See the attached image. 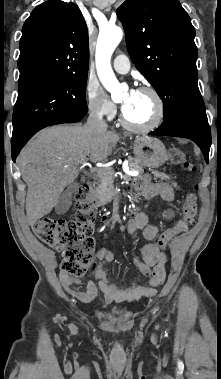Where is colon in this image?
<instances>
[{
  "label": "colon",
  "instance_id": "5ec220e1",
  "mask_svg": "<svg viewBox=\"0 0 221 379\" xmlns=\"http://www.w3.org/2000/svg\"><path fill=\"white\" fill-rule=\"evenodd\" d=\"M170 161L186 171H193L194 166L186 160L184 152L173 148L169 152ZM76 217L71 220L43 218L36 221L32 228L36 236L49 247L61 251L63 258L61 269L71 276L84 275L93 264L92 252L94 241L92 234L95 227L96 203L85 189L76 193ZM198 202L194 192L188 194L182 207L181 218L176 224L162 231L158 237L157 264L153 269L150 284L160 286L166 278V255L164 249L178 234L186 231L197 215Z\"/></svg>",
  "mask_w": 221,
  "mask_h": 379
}]
</instances>
